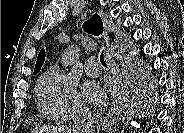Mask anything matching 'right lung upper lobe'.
Here are the masks:
<instances>
[{
  "instance_id": "obj_1",
  "label": "right lung upper lobe",
  "mask_w": 184,
  "mask_h": 133,
  "mask_svg": "<svg viewBox=\"0 0 184 133\" xmlns=\"http://www.w3.org/2000/svg\"><path fill=\"white\" fill-rule=\"evenodd\" d=\"M83 28L86 32L98 36L102 34L103 23L99 15H94L90 20L83 24ZM45 60V51L42 49L37 57V62L34 69V74H37L41 69Z\"/></svg>"
}]
</instances>
